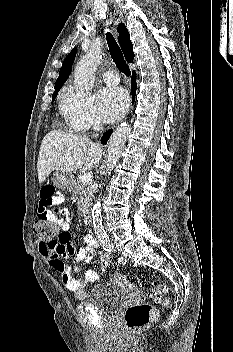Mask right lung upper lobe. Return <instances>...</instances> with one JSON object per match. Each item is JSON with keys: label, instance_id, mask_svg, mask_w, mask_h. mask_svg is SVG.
<instances>
[{"label": "right lung upper lobe", "instance_id": "1", "mask_svg": "<svg viewBox=\"0 0 233 352\" xmlns=\"http://www.w3.org/2000/svg\"><path fill=\"white\" fill-rule=\"evenodd\" d=\"M117 31L119 33L118 42L123 50L125 59L127 60V62L130 63L134 58V53L133 46L130 41L129 32L124 24H120L117 28ZM76 51V47L73 48V50L67 55L66 59L64 60L63 66L59 71V77L57 78L55 83V91L61 89L64 82L68 79L69 75L71 74L72 65L76 56Z\"/></svg>", "mask_w": 233, "mask_h": 352}]
</instances>
